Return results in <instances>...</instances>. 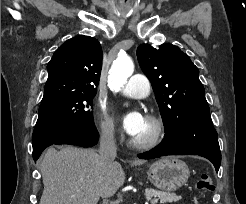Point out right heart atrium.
Segmentation results:
<instances>
[{"mask_svg": "<svg viewBox=\"0 0 246 204\" xmlns=\"http://www.w3.org/2000/svg\"><path fill=\"white\" fill-rule=\"evenodd\" d=\"M95 125L100 137L105 141H114L117 137V127L113 118L103 107H99L94 116Z\"/></svg>", "mask_w": 246, "mask_h": 204, "instance_id": "d8ad5b80", "label": "right heart atrium"}]
</instances>
